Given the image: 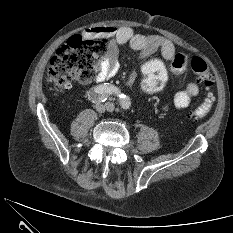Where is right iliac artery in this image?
Listing matches in <instances>:
<instances>
[{"label": "right iliac artery", "mask_w": 233, "mask_h": 233, "mask_svg": "<svg viewBox=\"0 0 233 233\" xmlns=\"http://www.w3.org/2000/svg\"><path fill=\"white\" fill-rule=\"evenodd\" d=\"M111 94H115L118 96L119 94H121V92L117 87L113 85H100L89 93V99L93 103L105 102Z\"/></svg>", "instance_id": "1"}]
</instances>
